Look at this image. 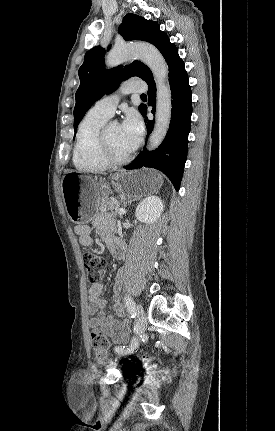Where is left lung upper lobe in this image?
Wrapping results in <instances>:
<instances>
[{
  "mask_svg": "<svg viewBox=\"0 0 275 431\" xmlns=\"http://www.w3.org/2000/svg\"><path fill=\"white\" fill-rule=\"evenodd\" d=\"M119 33L128 40H142L155 45L164 58L170 49L175 46L170 43L168 36L159 29L156 22L146 20L134 14H127L119 26ZM109 50V48H108ZM105 50L96 46L85 54L84 62L79 68L80 86L76 91V104L74 107V130L92 104L105 94L115 91L121 81L137 76L148 82L152 79L150 69L140 61L130 65L115 67L106 70L104 64ZM145 105H140L142 112Z\"/></svg>",
  "mask_w": 275,
  "mask_h": 431,
  "instance_id": "left-lung-upper-lobe-1",
  "label": "left lung upper lobe"
}]
</instances>
